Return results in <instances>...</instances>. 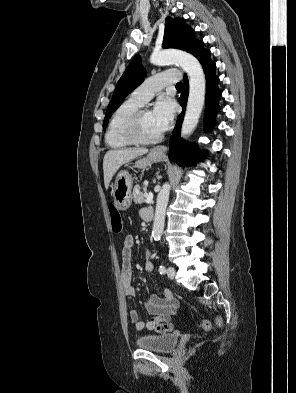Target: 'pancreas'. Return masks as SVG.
<instances>
[{
	"instance_id": "pancreas-1",
	"label": "pancreas",
	"mask_w": 296,
	"mask_h": 393,
	"mask_svg": "<svg viewBox=\"0 0 296 393\" xmlns=\"http://www.w3.org/2000/svg\"><path fill=\"white\" fill-rule=\"evenodd\" d=\"M141 187L139 185L134 187L133 190V200L136 204H141L146 198V186H143V192L140 191Z\"/></svg>"
}]
</instances>
